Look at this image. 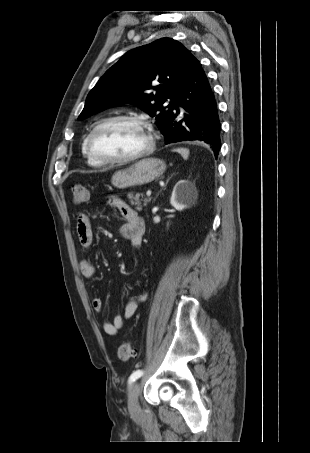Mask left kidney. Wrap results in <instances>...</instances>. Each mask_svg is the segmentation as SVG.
<instances>
[{"label": "left kidney", "mask_w": 310, "mask_h": 453, "mask_svg": "<svg viewBox=\"0 0 310 453\" xmlns=\"http://www.w3.org/2000/svg\"><path fill=\"white\" fill-rule=\"evenodd\" d=\"M195 194V190L186 181L180 180L173 189L170 204L176 210L182 211L193 201Z\"/></svg>", "instance_id": "left-kidney-1"}]
</instances>
